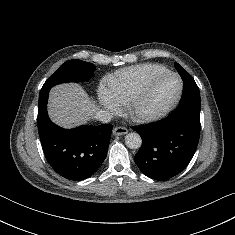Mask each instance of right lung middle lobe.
<instances>
[{"mask_svg": "<svg viewBox=\"0 0 235 235\" xmlns=\"http://www.w3.org/2000/svg\"><path fill=\"white\" fill-rule=\"evenodd\" d=\"M94 65L81 60H70L62 64L44 83L40 93L66 82L86 81L94 75Z\"/></svg>", "mask_w": 235, "mask_h": 235, "instance_id": "obj_1", "label": "right lung middle lobe"}]
</instances>
